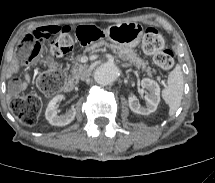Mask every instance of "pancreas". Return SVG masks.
Listing matches in <instances>:
<instances>
[{
  "label": "pancreas",
  "mask_w": 215,
  "mask_h": 183,
  "mask_svg": "<svg viewBox=\"0 0 215 183\" xmlns=\"http://www.w3.org/2000/svg\"><path fill=\"white\" fill-rule=\"evenodd\" d=\"M102 46L117 50L119 58H121L124 61H129L131 64H133L138 69H142V71H144L148 76L152 75L153 71H152L151 67L149 66V63L145 62L143 59L139 58L137 56V54L131 48L121 47L116 44H109L106 41L102 40L100 42L94 43L91 46L87 47L84 50V53L95 50L96 48H100ZM79 59H80V56H77L76 61L73 62V65L71 68L72 77L74 79L80 78L81 73L84 70H86V68H87V65H83L78 62Z\"/></svg>",
  "instance_id": "pancreas-1"
}]
</instances>
